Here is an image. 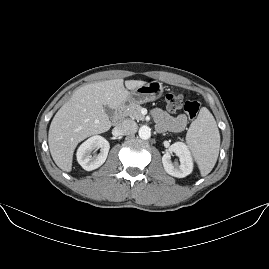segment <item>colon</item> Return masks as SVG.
Masks as SVG:
<instances>
[{
	"label": "colon",
	"mask_w": 269,
	"mask_h": 269,
	"mask_svg": "<svg viewBox=\"0 0 269 269\" xmlns=\"http://www.w3.org/2000/svg\"><path fill=\"white\" fill-rule=\"evenodd\" d=\"M165 105L167 110L172 113L184 110L191 119L198 115L201 108L198 100H184L182 94L175 91H169L165 95Z\"/></svg>",
	"instance_id": "obj_1"
}]
</instances>
